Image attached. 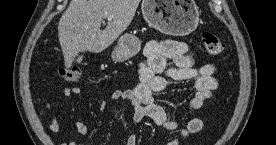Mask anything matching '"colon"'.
<instances>
[{
	"instance_id": "1",
	"label": "colon",
	"mask_w": 276,
	"mask_h": 145,
	"mask_svg": "<svg viewBox=\"0 0 276 145\" xmlns=\"http://www.w3.org/2000/svg\"><path fill=\"white\" fill-rule=\"evenodd\" d=\"M202 41L209 55H219L224 51V43L214 34L203 33ZM60 76L69 82H78L82 72L79 68L61 69Z\"/></svg>"
}]
</instances>
